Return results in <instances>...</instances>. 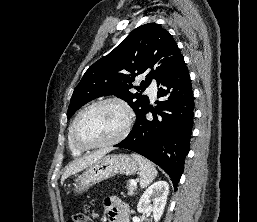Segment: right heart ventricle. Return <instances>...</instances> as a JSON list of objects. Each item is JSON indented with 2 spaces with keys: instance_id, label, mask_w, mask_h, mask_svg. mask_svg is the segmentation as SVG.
Segmentation results:
<instances>
[{
  "instance_id": "right-heart-ventricle-1",
  "label": "right heart ventricle",
  "mask_w": 257,
  "mask_h": 222,
  "mask_svg": "<svg viewBox=\"0 0 257 222\" xmlns=\"http://www.w3.org/2000/svg\"><path fill=\"white\" fill-rule=\"evenodd\" d=\"M70 130H71V127H70L69 132H68V145H69V149H70L72 155L78 156V155H80V154L83 153V150L78 149V148L72 143L71 136H70Z\"/></svg>"
}]
</instances>
